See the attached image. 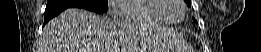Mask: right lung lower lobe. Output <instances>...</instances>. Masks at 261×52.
Listing matches in <instances>:
<instances>
[{"instance_id":"right-lung-lower-lobe-1","label":"right lung lower lobe","mask_w":261,"mask_h":52,"mask_svg":"<svg viewBox=\"0 0 261 52\" xmlns=\"http://www.w3.org/2000/svg\"><path fill=\"white\" fill-rule=\"evenodd\" d=\"M71 8L67 5H61V4H51L47 5L45 9V15H44V25L54 16L58 15L63 10Z\"/></svg>"}]
</instances>
